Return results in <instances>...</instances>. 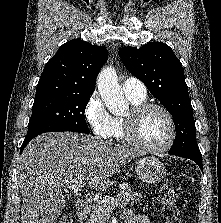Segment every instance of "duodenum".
Returning <instances> with one entry per match:
<instances>
[{
    "label": "duodenum",
    "instance_id": "1",
    "mask_svg": "<svg viewBox=\"0 0 221 223\" xmlns=\"http://www.w3.org/2000/svg\"><path fill=\"white\" fill-rule=\"evenodd\" d=\"M91 206L87 200L81 199L77 201V217L80 221L86 219L90 212Z\"/></svg>",
    "mask_w": 221,
    "mask_h": 223
}]
</instances>
